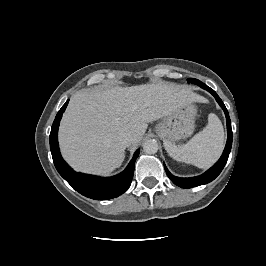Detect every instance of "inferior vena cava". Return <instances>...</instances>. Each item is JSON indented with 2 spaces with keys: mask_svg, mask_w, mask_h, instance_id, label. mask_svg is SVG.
<instances>
[{
  "mask_svg": "<svg viewBox=\"0 0 266 266\" xmlns=\"http://www.w3.org/2000/svg\"><path fill=\"white\" fill-rule=\"evenodd\" d=\"M121 141L125 146H129L133 142V137L129 133L122 134Z\"/></svg>",
  "mask_w": 266,
  "mask_h": 266,
  "instance_id": "602c4592",
  "label": "inferior vena cava"
}]
</instances>
